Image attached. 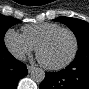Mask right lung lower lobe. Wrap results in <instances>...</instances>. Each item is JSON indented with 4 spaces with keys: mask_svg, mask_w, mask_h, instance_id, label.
Wrapping results in <instances>:
<instances>
[{
    "mask_svg": "<svg viewBox=\"0 0 89 89\" xmlns=\"http://www.w3.org/2000/svg\"><path fill=\"white\" fill-rule=\"evenodd\" d=\"M27 73L25 64L15 59L6 47L0 48V89H16Z\"/></svg>",
    "mask_w": 89,
    "mask_h": 89,
    "instance_id": "obj_1",
    "label": "right lung lower lobe"
}]
</instances>
